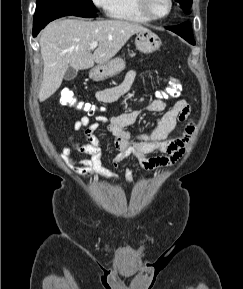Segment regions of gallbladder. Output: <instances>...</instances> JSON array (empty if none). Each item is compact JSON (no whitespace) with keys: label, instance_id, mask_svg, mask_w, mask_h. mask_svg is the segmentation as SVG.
<instances>
[{"label":"gallbladder","instance_id":"gallbladder-1","mask_svg":"<svg viewBox=\"0 0 243 289\" xmlns=\"http://www.w3.org/2000/svg\"><path fill=\"white\" fill-rule=\"evenodd\" d=\"M77 76V70L71 66L68 67L65 75H64V79L66 81H71L73 80L75 77Z\"/></svg>","mask_w":243,"mask_h":289}]
</instances>
